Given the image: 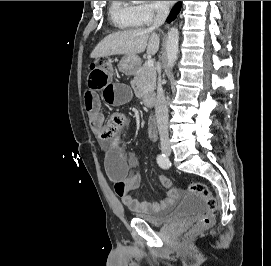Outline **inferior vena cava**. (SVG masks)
Masks as SVG:
<instances>
[{
	"label": "inferior vena cava",
	"instance_id": "obj_1",
	"mask_svg": "<svg viewBox=\"0 0 271 266\" xmlns=\"http://www.w3.org/2000/svg\"><path fill=\"white\" fill-rule=\"evenodd\" d=\"M156 16L154 18L152 26L149 28L153 31L164 24L168 14L169 7L163 4H156ZM155 116L157 120L158 131L161 141H167L169 137L168 133V107L165 99L164 90L161 84V78L158 79L157 86V99L155 104Z\"/></svg>",
	"mask_w": 271,
	"mask_h": 266
}]
</instances>
